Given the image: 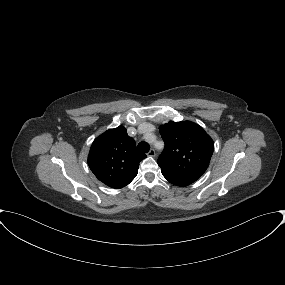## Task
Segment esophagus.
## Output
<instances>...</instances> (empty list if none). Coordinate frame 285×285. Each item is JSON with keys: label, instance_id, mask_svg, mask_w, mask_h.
Segmentation results:
<instances>
[{"label": "esophagus", "instance_id": "34e87169", "mask_svg": "<svg viewBox=\"0 0 285 285\" xmlns=\"http://www.w3.org/2000/svg\"><path fill=\"white\" fill-rule=\"evenodd\" d=\"M155 155H156L155 150L154 149H150V151L148 152V156L155 157Z\"/></svg>", "mask_w": 285, "mask_h": 285}]
</instances>
